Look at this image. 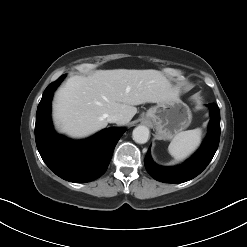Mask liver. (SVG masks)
Listing matches in <instances>:
<instances>
[{"instance_id": "liver-1", "label": "liver", "mask_w": 247, "mask_h": 247, "mask_svg": "<svg viewBox=\"0 0 247 247\" xmlns=\"http://www.w3.org/2000/svg\"><path fill=\"white\" fill-rule=\"evenodd\" d=\"M178 94L157 70H98L66 81L56 93L53 117L61 132L80 138L105 128L111 114H123L126 124L137 113L136 105L167 102Z\"/></svg>"}]
</instances>
